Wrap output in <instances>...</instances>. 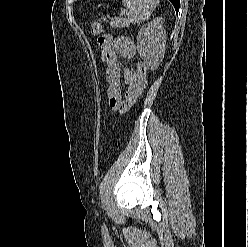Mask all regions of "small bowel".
<instances>
[{
  "mask_svg": "<svg viewBox=\"0 0 248 247\" xmlns=\"http://www.w3.org/2000/svg\"><path fill=\"white\" fill-rule=\"evenodd\" d=\"M98 46L102 52L104 78L108 85L107 96L109 107L119 112L128 111L141 96L144 86L137 72L128 65L121 66L118 54L126 59L136 55V46L128 37L101 35ZM124 83V91L121 84Z\"/></svg>",
  "mask_w": 248,
  "mask_h": 247,
  "instance_id": "c3829d8e",
  "label": "small bowel"
}]
</instances>
